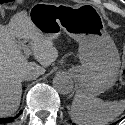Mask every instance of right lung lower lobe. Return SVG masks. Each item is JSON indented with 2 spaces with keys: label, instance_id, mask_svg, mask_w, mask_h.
Masks as SVG:
<instances>
[{
  "label": "right lung lower lobe",
  "instance_id": "right-lung-lower-lobe-1",
  "mask_svg": "<svg viewBox=\"0 0 125 125\" xmlns=\"http://www.w3.org/2000/svg\"><path fill=\"white\" fill-rule=\"evenodd\" d=\"M20 113H21V112H20ZM20 113H19V114H20ZM19 114L16 115L15 117L0 118V123H9V122H12V121H14L15 118H17V117L19 116Z\"/></svg>",
  "mask_w": 125,
  "mask_h": 125
}]
</instances>
